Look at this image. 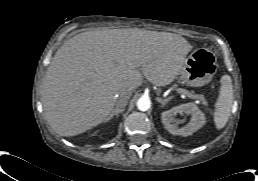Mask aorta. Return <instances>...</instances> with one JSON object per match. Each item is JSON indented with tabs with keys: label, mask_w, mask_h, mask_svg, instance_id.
Listing matches in <instances>:
<instances>
[{
	"label": "aorta",
	"mask_w": 258,
	"mask_h": 181,
	"mask_svg": "<svg viewBox=\"0 0 258 181\" xmlns=\"http://www.w3.org/2000/svg\"><path fill=\"white\" fill-rule=\"evenodd\" d=\"M151 106L150 99L141 97L137 101V107L140 111H147Z\"/></svg>",
	"instance_id": "aorta-1"
}]
</instances>
